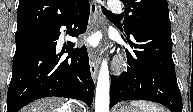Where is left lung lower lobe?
Here are the masks:
<instances>
[{"instance_id": "obj_1", "label": "left lung lower lobe", "mask_w": 193, "mask_h": 112, "mask_svg": "<svg viewBox=\"0 0 193 112\" xmlns=\"http://www.w3.org/2000/svg\"><path fill=\"white\" fill-rule=\"evenodd\" d=\"M123 39L134 50H126L127 72L111 78L110 106L120 101L140 99L160 103L171 112H182L172 59L170 23L140 28Z\"/></svg>"}]
</instances>
